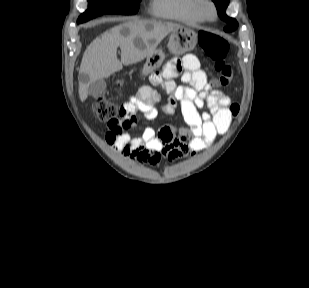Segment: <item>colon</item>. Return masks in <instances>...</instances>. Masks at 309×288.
Listing matches in <instances>:
<instances>
[{
  "label": "colon",
  "instance_id": "colon-1",
  "mask_svg": "<svg viewBox=\"0 0 309 288\" xmlns=\"http://www.w3.org/2000/svg\"><path fill=\"white\" fill-rule=\"evenodd\" d=\"M198 43L200 54L215 63L214 67L218 74L215 84L219 87L228 86L233 79L234 69L225 61L228 53L226 41L213 32L201 30L198 33ZM231 111L237 116L239 107L233 106ZM94 113L98 120L104 122H118L130 126L136 122L135 116L125 105L116 104L105 97L97 98Z\"/></svg>",
  "mask_w": 309,
  "mask_h": 288
}]
</instances>
